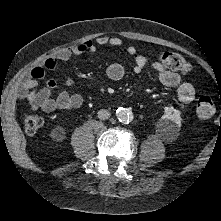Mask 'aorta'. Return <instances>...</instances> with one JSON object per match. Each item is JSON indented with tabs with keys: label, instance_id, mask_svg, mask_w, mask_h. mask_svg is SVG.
Masks as SVG:
<instances>
[{
	"label": "aorta",
	"instance_id": "762f6f07",
	"mask_svg": "<svg viewBox=\"0 0 221 221\" xmlns=\"http://www.w3.org/2000/svg\"><path fill=\"white\" fill-rule=\"evenodd\" d=\"M116 116L122 123H128L132 119V114L125 108L119 107L116 110Z\"/></svg>",
	"mask_w": 221,
	"mask_h": 221
}]
</instances>
